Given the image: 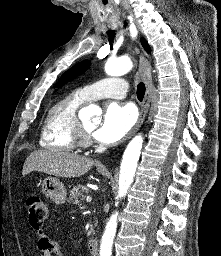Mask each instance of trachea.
Segmentation results:
<instances>
[{
  "instance_id": "trachea-1",
  "label": "trachea",
  "mask_w": 221,
  "mask_h": 256,
  "mask_svg": "<svg viewBox=\"0 0 221 256\" xmlns=\"http://www.w3.org/2000/svg\"><path fill=\"white\" fill-rule=\"evenodd\" d=\"M145 94V85L143 82L138 83L137 85V98L139 101H142Z\"/></svg>"
}]
</instances>
